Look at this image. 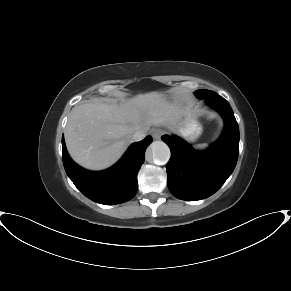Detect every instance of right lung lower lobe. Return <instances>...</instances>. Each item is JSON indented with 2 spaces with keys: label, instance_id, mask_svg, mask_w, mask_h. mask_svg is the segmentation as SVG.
Masks as SVG:
<instances>
[{
  "label": "right lung lower lobe",
  "instance_id": "98d812e1",
  "mask_svg": "<svg viewBox=\"0 0 291 291\" xmlns=\"http://www.w3.org/2000/svg\"><path fill=\"white\" fill-rule=\"evenodd\" d=\"M152 142L147 136L132 144L111 168L92 172L78 166L70 158L62 137V157L65 171L74 185L94 202L114 205L132 199L138 189L137 173L144 163L145 151Z\"/></svg>",
  "mask_w": 291,
  "mask_h": 291
}]
</instances>
